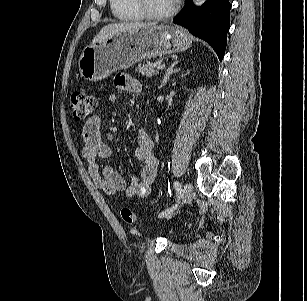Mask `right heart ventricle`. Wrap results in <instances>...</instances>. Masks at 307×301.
Listing matches in <instances>:
<instances>
[{"label": "right heart ventricle", "instance_id": "right-heart-ventricle-1", "mask_svg": "<svg viewBox=\"0 0 307 301\" xmlns=\"http://www.w3.org/2000/svg\"><path fill=\"white\" fill-rule=\"evenodd\" d=\"M113 15L121 21H138L144 18L134 0H109Z\"/></svg>", "mask_w": 307, "mask_h": 301}]
</instances>
